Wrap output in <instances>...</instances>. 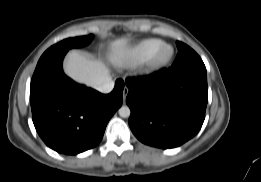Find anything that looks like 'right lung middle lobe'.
<instances>
[{
  "mask_svg": "<svg viewBox=\"0 0 261 182\" xmlns=\"http://www.w3.org/2000/svg\"><path fill=\"white\" fill-rule=\"evenodd\" d=\"M93 39V35L81 36L75 38L65 39L53 46H51L42 56L45 57L48 54L60 52V51H68L71 48H79L88 45Z\"/></svg>",
  "mask_w": 261,
  "mask_h": 182,
  "instance_id": "right-lung-middle-lobe-1",
  "label": "right lung middle lobe"
}]
</instances>
